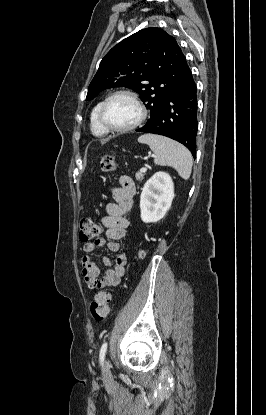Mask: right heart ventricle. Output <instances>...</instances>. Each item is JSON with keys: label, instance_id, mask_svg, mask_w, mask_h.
<instances>
[{"label": "right heart ventricle", "instance_id": "1", "mask_svg": "<svg viewBox=\"0 0 266 415\" xmlns=\"http://www.w3.org/2000/svg\"><path fill=\"white\" fill-rule=\"evenodd\" d=\"M102 102L103 100L97 102L90 113V130L92 134L97 137H102L108 133V131L101 125L99 120V112Z\"/></svg>", "mask_w": 266, "mask_h": 415}]
</instances>
